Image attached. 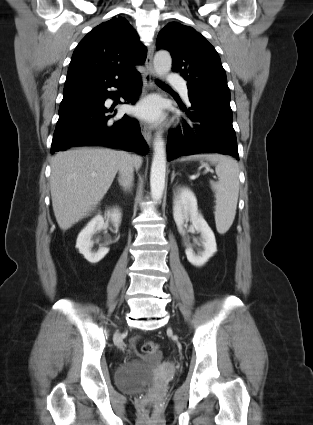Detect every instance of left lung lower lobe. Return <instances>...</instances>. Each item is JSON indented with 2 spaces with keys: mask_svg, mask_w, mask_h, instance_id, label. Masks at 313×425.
<instances>
[{
  "mask_svg": "<svg viewBox=\"0 0 313 425\" xmlns=\"http://www.w3.org/2000/svg\"><path fill=\"white\" fill-rule=\"evenodd\" d=\"M190 107L179 104L190 122L168 137V160L199 153H220L239 159L232 125L230 100L210 96H190Z\"/></svg>",
  "mask_w": 313,
  "mask_h": 425,
  "instance_id": "obj_1",
  "label": "left lung lower lobe"
}]
</instances>
